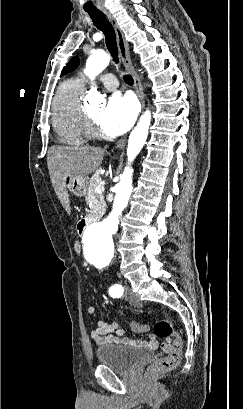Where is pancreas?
<instances>
[{
  "label": "pancreas",
  "instance_id": "pancreas-1",
  "mask_svg": "<svg viewBox=\"0 0 243 409\" xmlns=\"http://www.w3.org/2000/svg\"><path fill=\"white\" fill-rule=\"evenodd\" d=\"M101 184V178L99 171H97L90 179L88 186V192L85 197L87 205H89L90 218L100 220L105 214L106 202L102 194L95 192V188Z\"/></svg>",
  "mask_w": 243,
  "mask_h": 409
}]
</instances>
